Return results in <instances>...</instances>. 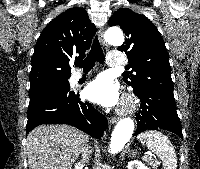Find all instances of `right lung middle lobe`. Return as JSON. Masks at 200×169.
Masks as SVG:
<instances>
[{
  "instance_id": "dd1d6c3e",
  "label": "right lung middle lobe",
  "mask_w": 200,
  "mask_h": 169,
  "mask_svg": "<svg viewBox=\"0 0 200 169\" xmlns=\"http://www.w3.org/2000/svg\"><path fill=\"white\" fill-rule=\"evenodd\" d=\"M68 84H69L68 78L45 80L35 85H31L29 92H33L34 90H39V89H48L52 86H59V85L66 86Z\"/></svg>"
}]
</instances>
